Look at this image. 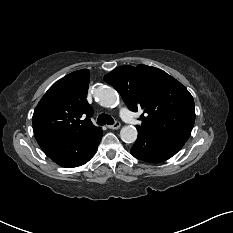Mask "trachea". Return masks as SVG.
I'll return each mask as SVG.
<instances>
[{
  "instance_id": "3493384b",
  "label": "trachea",
  "mask_w": 233,
  "mask_h": 233,
  "mask_svg": "<svg viewBox=\"0 0 233 233\" xmlns=\"http://www.w3.org/2000/svg\"><path fill=\"white\" fill-rule=\"evenodd\" d=\"M97 124L98 125H112L114 124V120L110 115L107 114H100L97 119Z\"/></svg>"
}]
</instances>
